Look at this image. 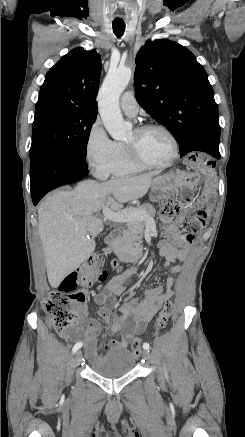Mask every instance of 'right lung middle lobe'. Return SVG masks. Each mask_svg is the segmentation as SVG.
<instances>
[{
    "instance_id": "obj_1",
    "label": "right lung middle lobe",
    "mask_w": 245,
    "mask_h": 437,
    "mask_svg": "<svg viewBox=\"0 0 245 437\" xmlns=\"http://www.w3.org/2000/svg\"><path fill=\"white\" fill-rule=\"evenodd\" d=\"M97 113L57 104L35 107L30 163L54 155L86 161L87 142Z\"/></svg>"
}]
</instances>
